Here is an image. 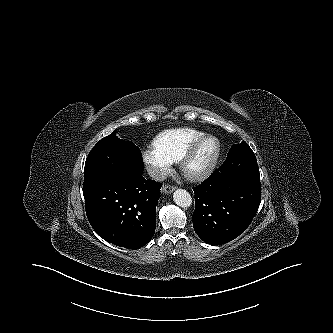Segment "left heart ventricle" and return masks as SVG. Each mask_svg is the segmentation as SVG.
I'll return each instance as SVG.
<instances>
[{
    "mask_svg": "<svg viewBox=\"0 0 333 333\" xmlns=\"http://www.w3.org/2000/svg\"><path fill=\"white\" fill-rule=\"evenodd\" d=\"M213 150L214 143L212 141L205 143L200 149L198 155L196 156L193 162V167H200L202 164H204L211 156Z\"/></svg>",
    "mask_w": 333,
    "mask_h": 333,
    "instance_id": "b2bd125f",
    "label": "left heart ventricle"
}]
</instances>
